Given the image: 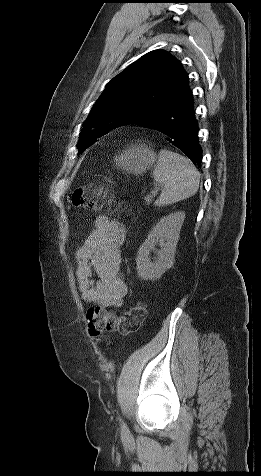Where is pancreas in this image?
<instances>
[{"instance_id":"pancreas-1","label":"pancreas","mask_w":261,"mask_h":476,"mask_svg":"<svg viewBox=\"0 0 261 476\" xmlns=\"http://www.w3.org/2000/svg\"><path fill=\"white\" fill-rule=\"evenodd\" d=\"M145 202L149 205L152 201V195L149 194L144 198Z\"/></svg>"}]
</instances>
